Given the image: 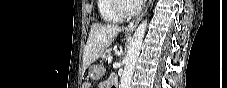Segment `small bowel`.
<instances>
[{"instance_id":"obj_1","label":"small bowel","mask_w":227,"mask_h":88,"mask_svg":"<svg viewBox=\"0 0 227 88\" xmlns=\"http://www.w3.org/2000/svg\"><path fill=\"white\" fill-rule=\"evenodd\" d=\"M115 79L117 80L116 76H111L108 80L100 83L99 87L100 88H113L112 81L115 80Z\"/></svg>"}]
</instances>
